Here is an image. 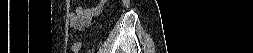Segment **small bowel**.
Masks as SVG:
<instances>
[{
	"mask_svg": "<svg viewBox=\"0 0 253 53\" xmlns=\"http://www.w3.org/2000/svg\"><path fill=\"white\" fill-rule=\"evenodd\" d=\"M102 3L92 8L78 7L69 15L70 25L76 30H83L88 27L95 17L100 13Z\"/></svg>",
	"mask_w": 253,
	"mask_h": 53,
	"instance_id": "obj_1",
	"label": "small bowel"
}]
</instances>
